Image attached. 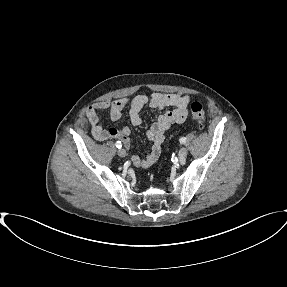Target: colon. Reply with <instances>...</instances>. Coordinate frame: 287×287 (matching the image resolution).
<instances>
[{
  "label": "colon",
  "mask_w": 287,
  "mask_h": 287,
  "mask_svg": "<svg viewBox=\"0 0 287 287\" xmlns=\"http://www.w3.org/2000/svg\"><path fill=\"white\" fill-rule=\"evenodd\" d=\"M192 118L199 124L204 125L206 120V113L201 103L193 102L191 105Z\"/></svg>",
  "instance_id": "obj_1"
}]
</instances>
